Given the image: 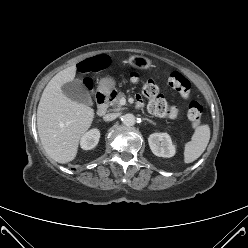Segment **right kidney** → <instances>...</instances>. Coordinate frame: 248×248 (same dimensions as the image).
Instances as JSON below:
<instances>
[{
	"mask_svg": "<svg viewBox=\"0 0 248 248\" xmlns=\"http://www.w3.org/2000/svg\"><path fill=\"white\" fill-rule=\"evenodd\" d=\"M100 132L98 129H92L89 132L85 133L81 138L80 144L81 148L84 150H90L94 148L99 141Z\"/></svg>",
	"mask_w": 248,
	"mask_h": 248,
	"instance_id": "1",
	"label": "right kidney"
}]
</instances>
